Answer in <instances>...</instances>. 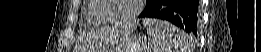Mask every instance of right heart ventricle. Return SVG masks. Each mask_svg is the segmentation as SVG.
<instances>
[{"label":"right heart ventricle","mask_w":261,"mask_h":52,"mask_svg":"<svg viewBox=\"0 0 261 52\" xmlns=\"http://www.w3.org/2000/svg\"><path fill=\"white\" fill-rule=\"evenodd\" d=\"M102 7L100 0H90L85 9V15L88 22L92 24H107L100 16L99 11Z\"/></svg>","instance_id":"1"}]
</instances>
